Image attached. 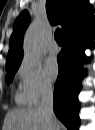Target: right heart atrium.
<instances>
[{
    "label": "right heart atrium",
    "instance_id": "right-heart-atrium-1",
    "mask_svg": "<svg viewBox=\"0 0 95 130\" xmlns=\"http://www.w3.org/2000/svg\"><path fill=\"white\" fill-rule=\"evenodd\" d=\"M23 92L30 104H36L53 91L51 81L39 66L22 64L18 70Z\"/></svg>",
    "mask_w": 95,
    "mask_h": 130
}]
</instances>
